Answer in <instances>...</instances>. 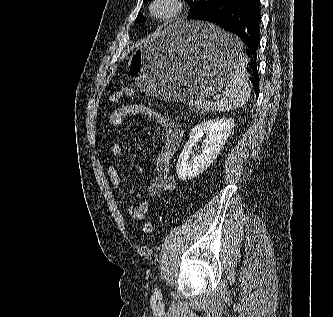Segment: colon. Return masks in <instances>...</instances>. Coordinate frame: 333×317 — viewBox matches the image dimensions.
Returning a JSON list of instances; mask_svg holds the SVG:
<instances>
[{"mask_svg": "<svg viewBox=\"0 0 333 317\" xmlns=\"http://www.w3.org/2000/svg\"><path fill=\"white\" fill-rule=\"evenodd\" d=\"M131 95H133V90L130 89V88H123V89H120V90H116L110 95L109 102H117L121 98L128 97V96H131ZM143 231L147 235H152L153 232H154L153 224L150 221H146L143 224Z\"/></svg>", "mask_w": 333, "mask_h": 317, "instance_id": "obj_1", "label": "colon"}]
</instances>
